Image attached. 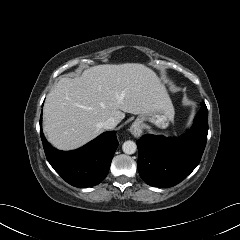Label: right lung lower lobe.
I'll use <instances>...</instances> for the list:
<instances>
[{"label": "right lung lower lobe", "mask_w": 240, "mask_h": 240, "mask_svg": "<svg viewBox=\"0 0 240 240\" xmlns=\"http://www.w3.org/2000/svg\"><path fill=\"white\" fill-rule=\"evenodd\" d=\"M40 135L48 162L53 169L70 185L92 187L104 180L118 147L116 131L105 132L80 149L59 151L53 148L42 132Z\"/></svg>", "instance_id": "obj_1"}]
</instances>
